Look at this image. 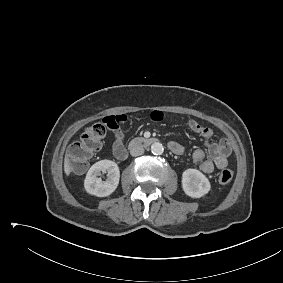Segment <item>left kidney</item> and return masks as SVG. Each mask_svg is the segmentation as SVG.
I'll return each instance as SVG.
<instances>
[{
  "label": "left kidney",
  "mask_w": 283,
  "mask_h": 283,
  "mask_svg": "<svg viewBox=\"0 0 283 283\" xmlns=\"http://www.w3.org/2000/svg\"><path fill=\"white\" fill-rule=\"evenodd\" d=\"M182 188L186 195L200 198L211 188L208 178L197 169H187L182 174Z\"/></svg>",
  "instance_id": "5707ae66"
}]
</instances>
